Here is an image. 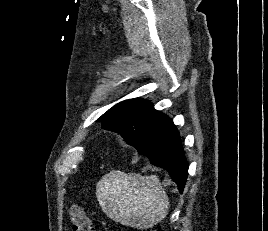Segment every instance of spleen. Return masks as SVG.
Wrapping results in <instances>:
<instances>
[{
    "label": "spleen",
    "mask_w": 268,
    "mask_h": 231,
    "mask_svg": "<svg viewBox=\"0 0 268 231\" xmlns=\"http://www.w3.org/2000/svg\"><path fill=\"white\" fill-rule=\"evenodd\" d=\"M96 196L112 220L136 228H150L168 214L169 199L156 175L112 171L97 183Z\"/></svg>",
    "instance_id": "1"
}]
</instances>
